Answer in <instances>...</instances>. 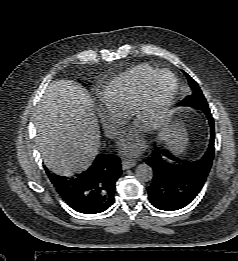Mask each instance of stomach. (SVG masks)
I'll return each mask as SVG.
<instances>
[{
	"label": "stomach",
	"mask_w": 238,
	"mask_h": 261,
	"mask_svg": "<svg viewBox=\"0 0 238 261\" xmlns=\"http://www.w3.org/2000/svg\"><path fill=\"white\" fill-rule=\"evenodd\" d=\"M185 133L177 119L170 124L167 132V142L171 151L180 153L184 145Z\"/></svg>",
	"instance_id": "0dacf381"
}]
</instances>
